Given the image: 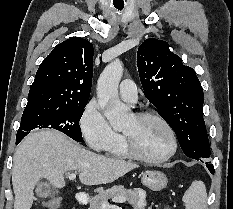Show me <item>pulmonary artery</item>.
Listing matches in <instances>:
<instances>
[{
	"label": "pulmonary artery",
	"mask_w": 233,
	"mask_h": 209,
	"mask_svg": "<svg viewBox=\"0 0 233 209\" xmlns=\"http://www.w3.org/2000/svg\"><path fill=\"white\" fill-rule=\"evenodd\" d=\"M119 95L122 100L135 103L138 97L136 84L130 79L123 80L119 86Z\"/></svg>",
	"instance_id": "obj_1"
}]
</instances>
